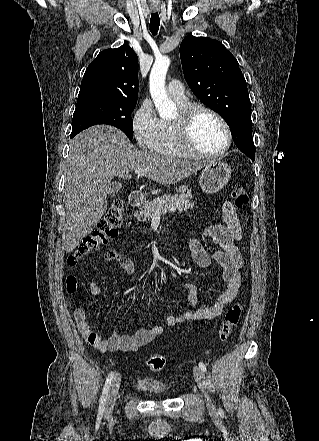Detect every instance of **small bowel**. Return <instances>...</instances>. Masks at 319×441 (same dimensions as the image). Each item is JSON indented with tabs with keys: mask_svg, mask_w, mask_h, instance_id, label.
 I'll return each mask as SVG.
<instances>
[{
	"mask_svg": "<svg viewBox=\"0 0 319 441\" xmlns=\"http://www.w3.org/2000/svg\"><path fill=\"white\" fill-rule=\"evenodd\" d=\"M222 217L223 224L209 226L206 230L207 235L218 245V250L213 254H209L196 239H189L185 242L193 260L199 267L206 269L211 265L212 261H216L222 268L225 289L216 297L212 304H198L197 284L186 282L184 289L187 291L189 306L181 314L176 316L168 315L163 325L140 328L130 335H121L114 332L108 339H103L93 329L85 310L82 307H77L74 310V319L79 332L86 341L103 352L136 351L176 324L213 319L219 316L223 312L224 306L232 302L238 294L241 284L240 270L243 267L242 255L236 245L242 239L243 230L232 202H224ZM104 257L108 262H116L127 274H134V264L125 254L116 250H110L106 252ZM84 281L89 286L94 297L101 295V289L94 280L84 276Z\"/></svg>",
	"mask_w": 319,
	"mask_h": 441,
	"instance_id": "c3829d8e",
	"label": "small bowel"
}]
</instances>
